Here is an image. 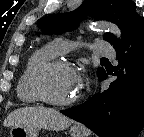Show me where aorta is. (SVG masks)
Listing matches in <instances>:
<instances>
[{
	"label": "aorta",
	"mask_w": 144,
	"mask_h": 137,
	"mask_svg": "<svg viewBox=\"0 0 144 137\" xmlns=\"http://www.w3.org/2000/svg\"><path fill=\"white\" fill-rule=\"evenodd\" d=\"M92 28L98 30H107L110 31L115 37L121 39V30L118 28L117 25L110 23V22H98L92 24Z\"/></svg>",
	"instance_id": "aorta-1"
}]
</instances>
